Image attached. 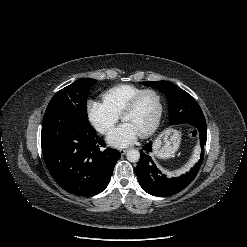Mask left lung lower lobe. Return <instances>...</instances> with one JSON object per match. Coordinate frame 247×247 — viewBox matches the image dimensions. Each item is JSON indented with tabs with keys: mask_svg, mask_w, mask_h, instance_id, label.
<instances>
[{
	"mask_svg": "<svg viewBox=\"0 0 247 247\" xmlns=\"http://www.w3.org/2000/svg\"><path fill=\"white\" fill-rule=\"evenodd\" d=\"M193 132L200 140V146L202 148L200 160L194 168L180 177L168 178L158 169L150 156V152H152L151 142L143 147L140 160L136 166V174L139 184L144 191L157 197L171 196L182 191L193 181L204 158V145L207 138L206 123L196 125Z\"/></svg>",
	"mask_w": 247,
	"mask_h": 247,
	"instance_id": "left-lung-lower-lobe-1",
	"label": "left lung lower lobe"
}]
</instances>
